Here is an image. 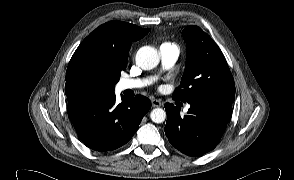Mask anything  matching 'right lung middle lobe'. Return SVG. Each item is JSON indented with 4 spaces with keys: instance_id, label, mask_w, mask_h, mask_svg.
<instances>
[{
    "instance_id": "dd1d6c3e",
    "label": "right lung middle lobe",
    "mask_w": 294,
    "mask_h": 180,
    "mask_svg": "<svg viewBox=\"0 0 294 180\" xmlns=\"http://www.w3.org/2000/svg\"><path fill=\"white\" fill-rule=\"evenodd\" d=\"M122 70L124 68L96 59H82L68 75V94L77 100L112 93Z\"/></svg>"
}]
</instances>
